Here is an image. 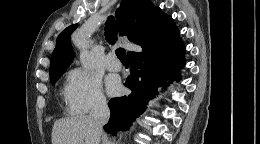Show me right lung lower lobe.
Masks as SVG:
<instances>
[{
  "instance_id": "98d812e1",
  "label": "right lung lower lobe",
  "mask_w": 260,
  "mask_h": 144,
  "mask_svg": "<svg viewBox=\"0 0 260 144\" xmlns=\"http://www.w3.org/2000/svg\"><path fill=\"white\" fill-rule=\"evenodd\" d=\"M185 46L179 35L173 39L154 46L142 53L132 52L128 55L130 61V76L124 85L132 90L128 96L112 98L109 122L105 131L114 134V130H124L142 114L150 99L158 94V87L166 86V77L180 80V70L185 65Z\"/></svg>"
}]
</instances>
